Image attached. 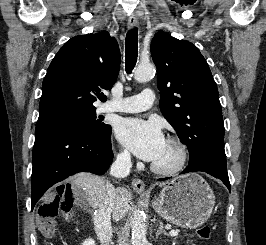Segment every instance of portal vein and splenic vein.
<instances>
[{"instance_id":"18ae733b","label":"portal vein and splenic vein","mask_w":266,"mask_h":245,"mask_svg":"<svg viewBox=\"0 0 266 245\" xmlns=\"http://www.w3.org/2000/svg\"><path fill=\"white\" fill-rule=\"evenodd\" d=\"M169 235L170 237H177L178 231H170Z\"/></svg>"}]
</instances>
